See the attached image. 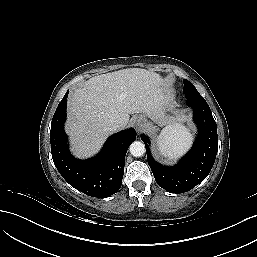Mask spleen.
Here are the masks:
<instances>
[{
	"label": "spleen",
	"instance_id": "spleen-1",
	"mask_svg": "<svg viewBox=\"0 0 257 257\" xmlns=\"http://www.w3.org/2000/svg\"><path fill=\"white\" fill-rule=\"evenodd\" d=\"M191 143L192 135L181 123L166 126L157 137V146L161 155L169 160L181 156Z\"/></svg>",
	"mask_w": 257,
	"mask_h": 257
}]
</instances>
